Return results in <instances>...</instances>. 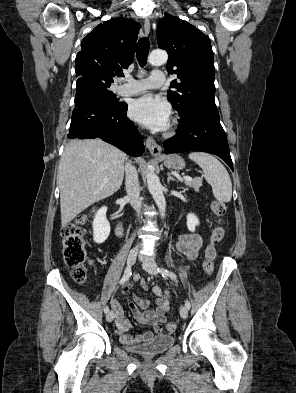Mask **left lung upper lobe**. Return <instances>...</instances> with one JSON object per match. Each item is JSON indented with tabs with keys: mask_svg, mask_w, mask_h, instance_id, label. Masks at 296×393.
<instances>
[{
	"mask_svg": "<svg viewBox=\"0 0 296 393\" xmlns=\"http://www.w3.org/2000/svg\"><path fill=\"white\" fill-rule=\"evenodd\" d=\"M158 46L168 52L167 71L177 74L167 98L181 117L187 119L196 109L216 108L215 67L208 36L193 25L165 15L157 30Z\"/></svg>",
	"mask_w": 296,
	"mask_h": 393,
	"instance_id": "left-lung-upper-lobe-1",
	"label": "left lung upper lobe"
}]
</instances>
